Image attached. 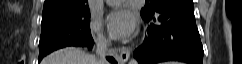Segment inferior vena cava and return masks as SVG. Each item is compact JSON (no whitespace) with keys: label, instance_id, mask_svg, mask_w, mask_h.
Here are the masks:
<instances>
[{"label":"inferior vena cava","instance_id":"inferior-vena-cava-1","mask_svg":"<svg viewBox=\"0 0 242 64\" xmlns=\"http://www.w3.org/2000/svg\"><path fill=\"white\" fill-rule=\"evenodd\" d=\"M110 45V41L106 40L103 36L96 41V53L99 56V64H108L106 60V50Z\"/></svg>","mask_w":242,"mask_h":64}]
</instances>
